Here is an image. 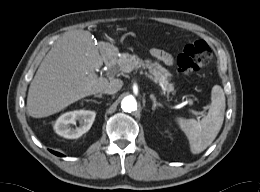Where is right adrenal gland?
<instances>
[{
	"label": "right adrenal gland",
	"mask_w": 260,
	"mask_h": 192,
	"mask_svg": "<svg viewBox=\"0 0 260 192\" xmlns=\"http://www.w3.org/2000/svg\"><path fill=\"white\" fill-rule=\"evenodd\" d=\"M94 97L102 98V94H95Z\"/></svg>",
	"instance_id": "right-adrenal-gland-1"
}]
</instances>
